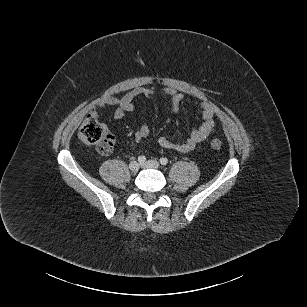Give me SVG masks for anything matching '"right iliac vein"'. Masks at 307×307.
<instances>
[{
	"mask_svg": "<svg viewBox=\"0 0 307 307\" xmlns=\"http://www.w3.org/2000/svg\"><path fill=\"white\" fill-rule=\"evenodd\" d=\"M139 163L137 161H132L130 162L129 164V169L132 171V172H137L139 170Z\"/></svg>",
	"mask_w": 307,
	"mask_h": 307,
	"instance_id": "obj_1",
	"label": "right iliac vein"
}]
</instances>
